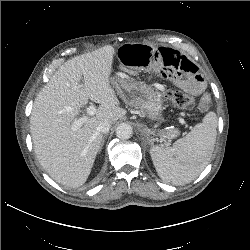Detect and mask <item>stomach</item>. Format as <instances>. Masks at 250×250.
I'll list each match as a JSON object with an SVG mask.
<instances>
[{
  "mask_svg": "<svg viewBox=\"0 0 250 250\" xmlns=\"http://www.w3.org/2000/svg\"><path fill=\"white\" fill-rule=\"evenodd\" d=\"M113 85L123 98L129 100L134 106L146 112L149 117L153 119L160 117L163 103L162 94L150 80L149 83L146 81L128 82L125 84L113 82ZM177 135L178 132L175 129L163 130L160 133L161 137L167 139H172Z\"/></svg>",
  "mask_w": 250,
  "mask_h": 250,
  "instance_id": "1",
  "label": "stomach"
}]
</instances>
